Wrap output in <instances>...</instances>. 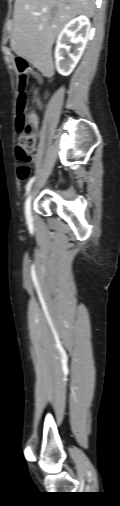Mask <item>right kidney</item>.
<instances>
[{
    "instance_id": "right-kidney-1",
    "label": "right kidney",
    "mask_w": 120,
    "mask_h": 506,
    "mask_svg": "<svg viewBox=\"0 0 120 506\" xmlns=\"http://www.w3.org/2000/svg\"><path fill=\"white\" fill-rule=\"evenodd\" d=\"M90 31V21L84 15L69 21L62 29L55 48V64L59 74L67 76L76 67L88 42ZM69 43L75 45L71 53ZM66 54L68 58H65Z\"/></svg>"
}]
</instances>
